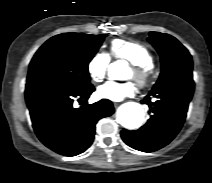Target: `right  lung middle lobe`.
<instances>
[{
	"instance_id": "dd1d6c3e",
	"label": "right lung middle lobe",
	"mask_w": 212,
	"mask_h": 183,
	"mask_svg": "<svg viewBox=\"0 0 212 183\" xmlns=\"http://www.w3.org/2000/svg\"><path fill=\"white\" fill-rule=\"evenodd\" d=\"M106 34L63 33L47 40L29 65L27 83H51L66 87L90 84L88 64Z\"/></svg>"
}]
</instances>
